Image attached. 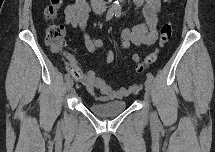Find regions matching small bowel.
I'll return each instance as SVG.
<instances>
[{"label": "small bowel", "mask_w": 215, "mask_h": 152, "mask_svg": "<svg viewBox=\"0 0 215 152\" xmlns=\"http://www.w3.org/2000/svg\"><path fill=\"white\" fill-rule=\"evenodd\" d=\"M136 5L142 6L145 23L134 25L131 29H123L120 31L121 48L128 49L131 44L136 45H152L156 42L158 12L160 10L159 0H135ZM89 5L85 0H77L65 9V24L82 33L85 46L91 53L101 51L103 42L100 39L90 38L85 32V26L89 14ZM114 53L110 50L104 52V61L112 63L114 61ZM133 60L139 62L138 55H133ZM77 80L84 86L87 92L98 101H106L110 99H121L131 94L138 93L142 84L137 83L128 88H114L106 82L105 79L97 76L94 71L81 72Z\"/></svg>", "instance_id": "small-bowel-1"}]
</instances>
